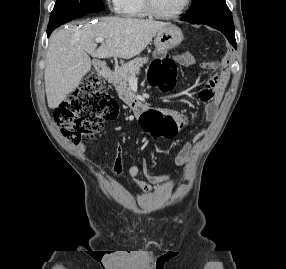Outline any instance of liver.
<instances>
[{
    "label": "liver",
    "instance_id": "liver-1",
    "mask_svg": "<svg viewBox=\"0 0 286 269\" xmlns=\"http://www.w3.org/2000/svg\"><path fill=\"white\" fill-rule=\"evenodd\" d=\"M169 24L149 19L104 17L83 28L69 27L52 34L44 72L48 107L57 108L79 86L91 69L89 54L99 59H131ZM96 38L105 40L99 48Z\"/></svg>",
    "mask_w": 286,
    "mask_h": 269
}]
</instances>
